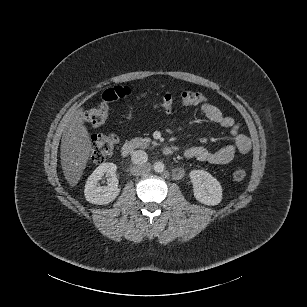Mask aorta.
I'll return each mask as SVG.
<instances>
[{
	"label": "aorta",
	"instance_id": "aorta-1",
	"mask_svg": "<svg viewBox=\"0 0 307 307\" xmlns=\"http://www.w3.org/2000/svg\"><path fill=\"white\" fill-rule=\"evenodd\" d=\"M153 168H154L155 172L161 173L164 170V164L160 163V162H157V163L154 164Z\"/></svg>",
	"mask_w": 307,
	"mask_h": 307
}]
</instances>
